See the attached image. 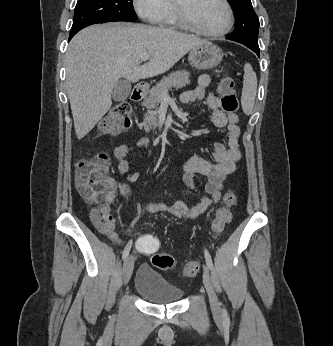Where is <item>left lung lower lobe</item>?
<instances>
[{
	"mask_svg": "<svg viewBox=\"0 0 333 346\" xmlns=\"http://www.w3.org/2000/svg\"><path fill=\"white\" fill-rule=\"evenodd\" d=\"M247 47L253 50L258 56H260L259 46L249 45Z\"/></svg>",
	"mask_w": 333,
	"mask_h": 346,
	"instance_id": "left-lung-lower-lobe-1",
	"label": "left lung lower lobe"
}]
</instances>
